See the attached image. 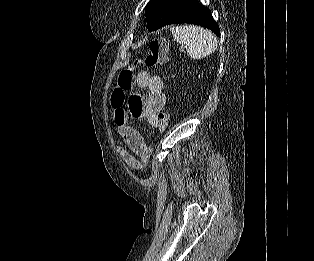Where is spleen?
I'll return each mask as SVG.
<instances>
[{"instance_id":"spleen-1","label":"spleen","mask_w":314,"mask_h":261,"mask_svg":"<svg viewBox=\"0 0 314 261\" xmlns=\"http://www.w3.org/2000/svg\"><path fill=\"white\" fill-rule=\"evenodd\" d=\"M174 39L182 44L193 59H202L217 49V39L213 33L201 27L183 25L171 27Z\"/></svg>"}]
</instances>
